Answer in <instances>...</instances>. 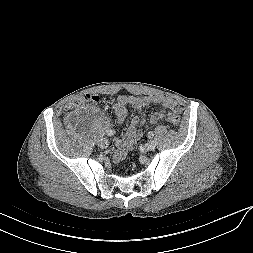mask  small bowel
<instances>
[{"label": "small bowel", "mask_w": 253, "mask_h": 253, "mask_svg": "<svg viewBox=\"0 0 253 253\" xmlns=\"http://www.w3.org/2000/svg\"><path fill=\"white\" fill-rule=\"evenodd\" d=\"M152 104H160L166 110L172 113H179L181 106L175 99L162 95H146V96H119L115 105V113L117 123L121 124L127 114L126 105H131L138 111V114L131 119L130 125L127 127L124 137L117 140L119 149L113 156L115 163L122 161L127 153L134 147L136 140L141 136L144 127L145 118L143 109ZM166 118V113L161 111L153 114L150 118V124H156Z\"/></svg>", "instance_id": "1"}]
</instances>
